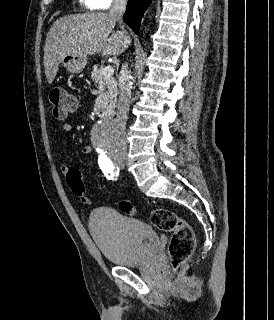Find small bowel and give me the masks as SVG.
<instances>
[{"mask_svg": "<svg viewBox=\"0 0 274 320\" xmlns=\"http://www.w3.org/2000/svg\"><path fill=\"white\" fill-rule=\"evenodd\" d=\"M62 129H63L64 132L69 133V132H71L73 130V125L71 123H64L63 126H62ZM92 152H93V147H91V146H86V147H84L82 149V153L84 155H88V154H90ZM68 170H69V167L66 164L60 165V171L62 173L66 174L68 172ZM82 202L85 203V204H89L90 203V199L88 198L87 200L82 201Z\"/></svg>", "mask_w": 274, "mask_h": 320, "instance_id": "small-bowel-1", "label": "small bowel"}]
</instances>
